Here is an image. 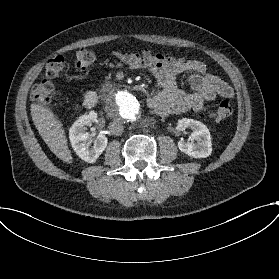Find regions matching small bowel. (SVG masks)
<instances>
[{"label": "small bowel", "mask_w": 279, "mask_h": 279, "mask_svg": "<svg viewBox=\"0 0 279 279\" xmlns=\"http://www.w3.org/2000/svg\"><path fill=\"white\" fill-rule=\"evenodd\" d=\"M116 55L128 69L145 71L154 78L156 92L148 98L147 105L159 115L200 111L218 95H232L231 87L207 73V66L201 60L153 53L148 48L140 52H117ZM183 72L190 73L191 91L178 86L177 75Z\"/></svg>", "instance_id": "c3829d8e"}]
</instances>
